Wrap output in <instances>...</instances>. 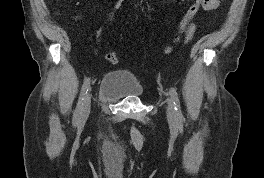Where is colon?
Masks as SVG:
<instances>
[{
	"instance_id": "obj_1",
	"label": "colon",
	"mask_w": 264,
	"mask_h": 178,
	"mask_svg": "<svg viewBox=\"0 0 264 178\" xmlns=\"http://www.w3.org/2000/svg\"><path fill=\"white\" fill-rule=\"evenodd\" d=\"M208 0H193V2L189 5V7L185 10L183 15L180 18L177 34L173 41V45L179 42H187L191 39L192 35L195 31V26L193 23V19L196 16L197 12L200 8H205ZM167 48V51L172 49V46ZM106 60L110 64H117L119 62V57L114 52H109L106 54Z\"/></svg>"
}]
</instances>
